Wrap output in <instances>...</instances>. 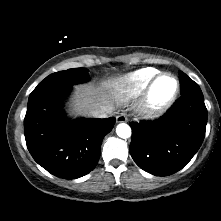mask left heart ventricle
Listing matches in <instances>:
<instances>
[{
    "label": "left heart ventricle",
    "mask_w": 221,
    "mask_h": 221,
    "mask_svg": "<svg viewBox=\"0 0 221 221\" xmlns=\"http://www.w3.org/2000/svg\"><path fill=\"white\" fill-rule=\"evenodd\" d=\"M175 82L170 77L161 78L154 88L153 98L155 102H161L168 98L174 91Z\"/></svg>",
    "instance_id": "obj_1"
}]
</instances>
